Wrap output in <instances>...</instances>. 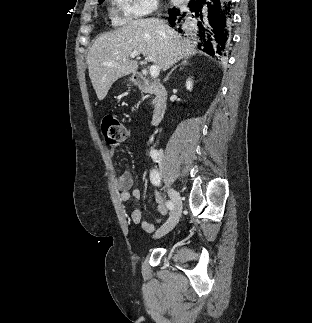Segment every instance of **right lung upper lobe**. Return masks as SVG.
I'll list each match as a JSON object with an SVG mask.
<instances>
[{
  "instance_id": "right-lung-upper-lobe-1",
  "label": "right lung upper lobe",
  "mask_w": 312,
  "mask_h": 323,
  "mask_svg": "<svg viewBox=\"0 0 312 323\" xmlns=\"http://www.w3.org/2000/svg\"><path fill=\"white\" fill-rule=\"evenodd\" d=\"M104 0H99L100 4L103 2Z\"/></svg>"
}]
</instances>
